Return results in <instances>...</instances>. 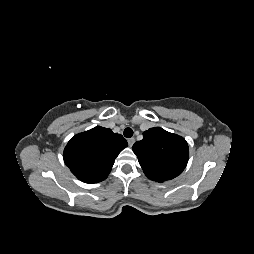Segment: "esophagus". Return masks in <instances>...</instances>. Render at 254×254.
<instances>
[{
    "instance_id": "1",
    "label": "esophagus",
    "mask_w": 254,
    "mask_h": 254,
    "mask_svg": "<svg viewBox=\"0 0 254 254\" xmlns=\"http://www.w3.org/2000/svg\"><path fill=\"white\" fill-rule=\"evenodd\" d=\"M134 143H135V138L128 139V144L130 147H132Z\"/></svg>"
}]
</instances>
